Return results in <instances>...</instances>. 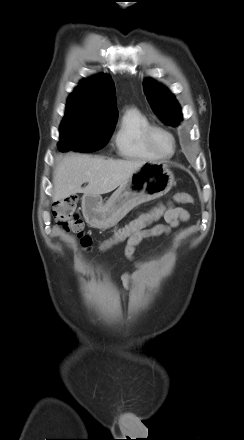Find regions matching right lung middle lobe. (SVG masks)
Wrapping results in <instances>:
<instances>
[{
    "label": "right lung middle lobe",
    "instance_id": "obj_1",
    "mask_svg": "<svg viewBox=\"0 0 244 440\" xmlns=\"http://www.w3.org/2000/svg\"><path fill=\"white\" fill-rule=\"evenodd\" d=\"M115 123L99 124L87 121L70 120L60 126V151L93 152L106 145L113 133Z\"/></svg>",
    "mask_w": 244,
    "mask_h": 440
}]
</instances>
